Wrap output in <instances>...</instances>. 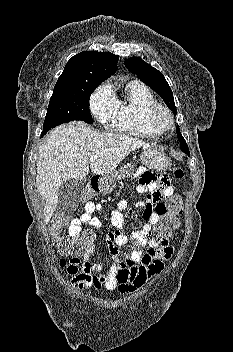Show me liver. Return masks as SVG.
Wrapping results in <instances>:
<instances>
[{
    "label": "liver",
    "mask_w": 233,
    "mask_h": 352,
    "mask_svg": "<svg viewBox=\"0 0 233 352\" xmlns=\"http://www.w3.org/2000/svg\"><path fill=\"white\" fill-rule=\"evenodd\" d=\"M146 142L125 135L99 133L84 122L74 121L52 130L38 152L36 184L45 199V222L58 205V189L66 180H83L93 174L107 175ZM97 156L95 162H89Z\"/></svg>",
    "instance_id": "1"
}]
</instances>
